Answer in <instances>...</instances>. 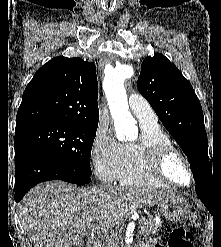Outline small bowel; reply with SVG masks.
Here are the masks:
<instances>
[{
    "instance_id": "obj_1",
    "label": "small bowel",
    "mask_w": 221,
    "mask_h": 247,
    "mask_svg": "<svg viewBox=\"0 0 221 247\" xmlns=\"http://www.w3.org/2000/svg\"><path fill=\"white\" fill-rule=\"evenodd\" d=\"M141 247H160L158 244H153V243H146L142 245Z\"/></svg>"
}]
</instances>
